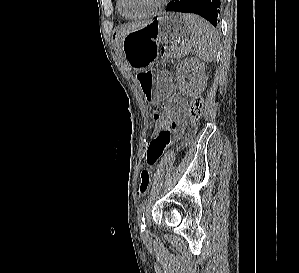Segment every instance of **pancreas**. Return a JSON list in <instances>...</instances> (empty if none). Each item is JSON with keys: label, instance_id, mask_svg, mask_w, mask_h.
Listing matches in <instances>:
<instances>
[{"label": "pancreas", "instance_id": "obj_1", "mask_svg": "<svg viewBox=\"0 0 299 273\" xmlns=\"http://www.w3.org/2000/svg\"><path fill=\"white\" fill-rule=\"evenodd\" d=\"M190 51L191 49L188 45H172L170 49H168L167 57L181 58L187 55Z\"/></svg>", "mask_w": 299, "mask_h": 273}]
</instances>
